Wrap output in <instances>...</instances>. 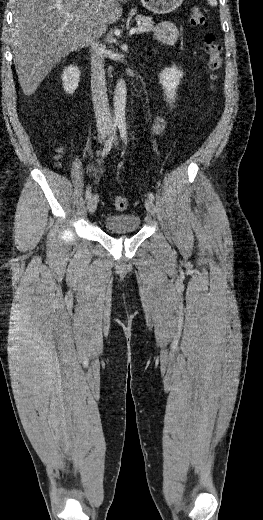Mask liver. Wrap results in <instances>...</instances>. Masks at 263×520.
Masks as SVG:
<instances>
[{"label":"liver","mask_w":263,"mask_h":520,"mask_svg":"<svg viewBox=\"0 0 263 520\" xmlns=\"http://www.w3.org/2000/svg\"><path fill=\"white\" fill-rule=\"evenodd\" d=\"M127 1L15 0L11 44L23 93L32 95L62 58L118 21ZM66 13L79 17L66 19Z\"/></svg>","instance_id":"liver-1"}]
</instances>
